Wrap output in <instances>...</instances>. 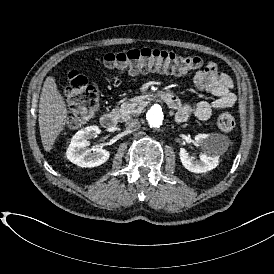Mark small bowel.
<instances>
[{"label":"small bowel","instance_id":"small-bowel-1","mask_svg":"<svg viewBox=\"0 0 274 274\" xmlns=\"http://www.w3.org/2000/svg\"><path fill=\"white\" fill-rule=\"evenodd\" d=\"M193 83L199 91L210 93L215 99L180 105L175 114L178 123L187 121L192 115L199 121H207L214 110L230 108L236 102L232 79L220 72L215 62H208L204 68L198 69Z\"/></svg>","mask_w":274,"mask_h":274}]
</instances>
